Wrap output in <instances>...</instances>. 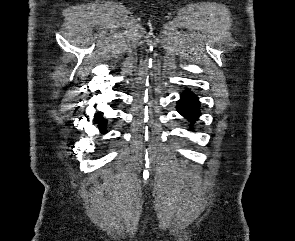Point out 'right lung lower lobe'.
Here are the masks:
<instances>
[{
	"label": "right lung lower lobe",
	"mask_w": 295,
	"mask_h": 241,
	"mask_svg": "<svg viewBox=\"0 0 295 241\" xmlns=\"http://www.w3.org/2000/svg\"><path fill=\"white\" fill-rule=\"evenodd\" d=\"M107 121L104 120V118L102 117V113L97 112L94 115V124L98 125L99 131L101 133H105V125H106Z\"/></svg>",
	"instance_id": "obj_1"
}]
</instances>
